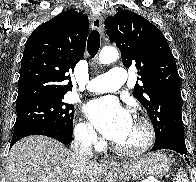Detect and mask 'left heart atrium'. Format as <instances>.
Listing matches in <instances>:
<instances>
[{"mask_svg":"<svg viewBox=\"0 0 196 182\" xmlns=\"http://www.w3.org/2000/svg\"><path fill=\"white\" fill-rule=\"evenodd\" d=\"M86 113L102 135L114 142L125 135L132 121L129 112L110 96L89 102Z\"/></svg>","mask_w":196,"mask_h":182,"instance_id":"1","label":"left heart atrium"}]
</instances>
